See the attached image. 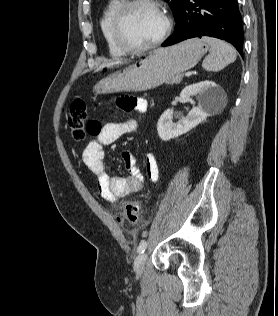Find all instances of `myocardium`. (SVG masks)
I'll return each instance as SVG.
<instances>
[{"label":"myocardium","mask_w":278,"mask_h":316,"mask_svg":"<svg viewBox=\"0 0 278 316\" xmlns=\"http://www.w3.org/2000/svg\"><path fill=\"white\" fill-rule=\"evenodd\" d=\"M141 4H148L154 7L161 15L163 22H164V27L161 32V34L151 43L143 45V46H133L131 45L123 31V24L124 20L127 16V14L136 6L141 5ZM173 27V22L168 14L166 8L157 0H128L125 1L124 4L118 9L116 12L114 18H113V23H112V28H113V34L114 38L117 42V44L127 53L131 54H140L144 53L146 51H149L151 49L156 48L159 46L161 43L165 41V39L170 35Z\"/></svg>","instance_id":"1"}]
</instances>
